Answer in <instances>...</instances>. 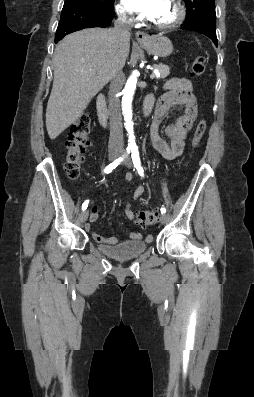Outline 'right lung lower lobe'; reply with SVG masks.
Here are the masks:
<instances>
[{
	"label": "right lung lower lobe",
	"instance_id": "right-lung-lower-lobe-1",
	"mask_svg": "<svg viewBox=\"0 0 254 397\" xmlns=\"http://www.w3.org/2000/svg\"><path fill=\"white\" fill-rule=\"evenodd\" d=\"M113 17L114 10L99 11L65 0L55 35V43L65 35L84 28L107 27Z\"/></svg>",
	"mask_w": 254,
	"mask_h": 397
}]
</instances>
